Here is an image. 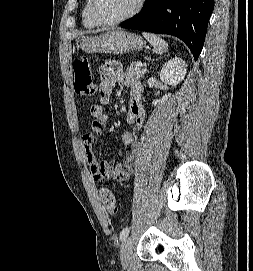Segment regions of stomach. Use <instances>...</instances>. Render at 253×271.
<instances>
[{
  "label": "stomach",
  "mask_w": 253,
  "mask_h": 271,
  "mask_svg": "<svg viewBox=\"0 0 253 271\" xmlns=\"http://www.w3.org/2000/svg\"><path fill=\"white\" fill-rule=\"evenodd\" d=\"M145 41L136 34L123 30L104 33L95 37H86L81 40L79 47L86 53L124 54L130 51L141 50Z\"/></svg>",
  "instance_id": "1"
}]
</instances>
